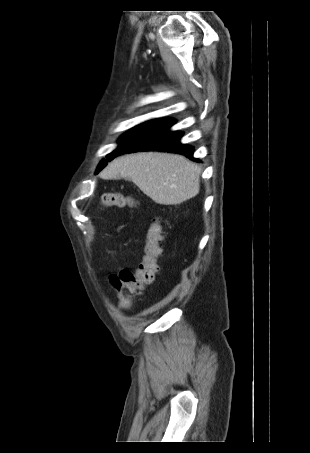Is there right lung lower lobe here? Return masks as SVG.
<instances>
[{"label": "right lung lower lobe", "mask_w": 310, "mask_h": 453, "mask_svg": "<svg viewBox=\"0 0 310 453\" xmlns=\"http://www.w3.org/2000/svg\"><path fill=\"white\" fill-rule=\"evenodd\" d=\"M174 123L175 121L172 119L162 118L155 120L118 155L137 151L157 150L179 153L199 162L198 159L193 158V147L180 142L182 133L169 130Z\"/></svg>", "instance_id": "obj_1"}]
</instances>
